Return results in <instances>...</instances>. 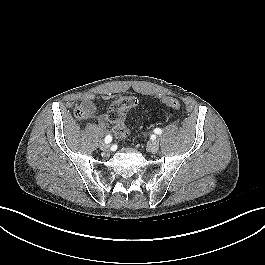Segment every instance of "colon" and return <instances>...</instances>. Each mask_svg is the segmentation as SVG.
I'll list each match as a JSON object with an SVG mask.
<instances>
[{"mask_svg":"<svg viewBox=\"0 0 265 265\" xmlns=\"http://www.w3.org/2000/svg\"><path fill=\"white\" fill-rule=\"evenodd\" d=\"M163 102L173 110L180 108V102L175 97L166 96ZM139 100L134 96H124L116 99L110 106L107 117L113 124V132L116 137L124 138L128 134V129L125 125L126 112L136 107ZM91 111L84 106L75 109V116L79 120H87L90 117Z\"/></svg>","mask_w":265,"mask_h":265,"instance_id":"1","label":"colon"}]
</instances>
